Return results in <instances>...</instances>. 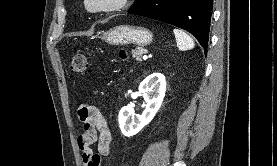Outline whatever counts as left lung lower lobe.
Returning a JSON list of instances; mask_svg holds the SVG:
<instances>
[{
  "instance_id": "1",
  "label": "left lung lower lobe",
  "mask_w": 277,
  "mask_h": 166,
  "mask_svg": "<svg viewBox=\"0 0 277 166\" xmlns=\"http://www.w3.org/2000/svg\"><path fill=\"white\" fill-rule=\"evenodd\" d=\"M212 10L213 0H146L128 13L172 24L192 33L206 53Z\"/></svg>"
}]
</instances>
